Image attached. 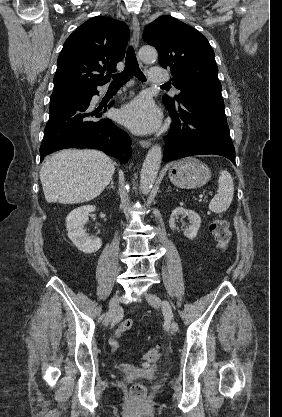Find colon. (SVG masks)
Segmentation results:
<instances>
[{
	"mask_svg": "<svg viewBox=\"0 0 282 417\" xmlns=\"http://www.w3.org/2000/svg\"><path fill=\"white\" fill-rule=\"evenodd\" d=\"M210 231L214 236L216 246L220 250H225L231 240V234L229 230L228 222L224 219H215L210 224ZM134 326L132 319H124L114 330L111 339L109 340L110 349L115 352L119 349L120 337L131 330ZM162 356L161 350L158 347H151L147 350L144 356V362L146 366H152L156 364ZM130 402L131 403H148L149 402V390L147 384H141L137 381L133 385V389L130 390Z\"/></svg>",
	"mask_w": 282,
	"mask_h": 417,
	"instance_id": "obj_1",
	"label": "colon"
}]
</instances>
